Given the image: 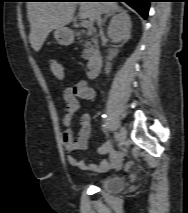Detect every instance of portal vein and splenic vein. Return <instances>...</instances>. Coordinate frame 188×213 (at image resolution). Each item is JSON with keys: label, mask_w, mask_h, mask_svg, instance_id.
I'll use <instances>...</instances> for the list:
<instances>
[{"label": "portal vein and splenic vein", "mask_w": 188, "mask_h": 213, "mask_svg": "<svg viewBox=\"0 0 188 213\" xmlns=\"http://www.w3.org/2000/svg\"><path fill=\"white\" fill-rule=\"evenodd\" d=\"M81 25H82L83 27H85V28H88V27L90 26V23H89V21H87V20H82V21H81Z\"/></svg>", "instance_id": "portal-vein-and-splenic-vein-1"}]
</instances>
